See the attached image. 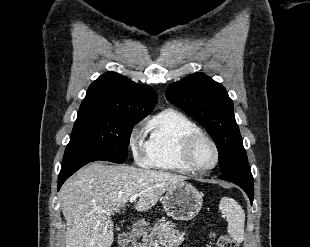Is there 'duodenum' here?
I'll return each instance as SVG.
<instances>
[{"mask_svg": "<svg viewBox=\"0 0 310 247\" xmlns=\"http://www.w3.org/2000/svg\"><path fill=\"white\" fill-rule=\"evenodd\" d=\"M121 247H132L133 240L129 233H122L119 238Z\"/></svg>", "mask_w": 310, "mask_h": 247, "instance_id": "duodenum-1", "label": "duodenum"}]
</instances>
